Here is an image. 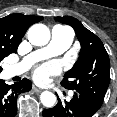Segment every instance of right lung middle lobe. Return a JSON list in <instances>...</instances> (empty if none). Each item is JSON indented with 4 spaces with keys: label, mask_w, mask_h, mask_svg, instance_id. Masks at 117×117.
I'll return each mask as SVG.
<instances>
[{
    "label": "right lung middle lobe",
    "mask_w": 117,
    "mask_h": 117,
    "mask_svg": "<svg viewBox=\"0 0 117 117\" xmlns=\"http://www.w3.org/2000/svg\"><path fill=\"white\" fill-rule=\"evenodd\" d=\"M14 52H16L15 50H10V49H4V48H0V62H1V60L4 58V57H6V56H8L9 54H11V53H14ZM2 71V68L0 67V72Z\"/></svg>",
    "instance_id": "1"
}]
</instances>
